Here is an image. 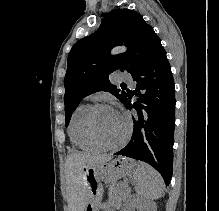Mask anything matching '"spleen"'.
<instances>
[{"instance_id": "obj_1", "label": "spleen", "mask_w": 219, "mask_h": 211, "mask_svg": "<svg viewBox=\"0 0 219 211\" xmlns=\"http://www.w3.org/2000/svg\"><path fill=\"white\" fill-rule=\"evenodd\" d=\"M133 185L140 195V199H159L163 193L164 181L159 171L148 163H140L133 175H131Z\"/></svg>"}]
</instances>
